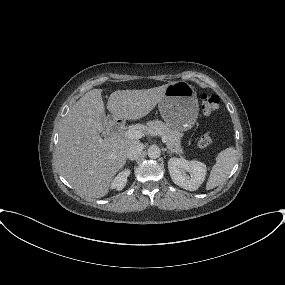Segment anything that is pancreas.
<instances>
[{
	"label": "pancreas",
	"mask_w": 285,
	"mask_h": 285,
	"mask_svg": "<svg viewBox=\"0 0 285 285\" xmlns=\"http://www.w3.org/2000/svg\"><path fill=\"white\" fill-rule=\"evenodd\" d=\"M147 129L149 131H156L161 136H164L167 140V148L171 152L176 154L183 153V148L181 146L182 134L179 131L169 127L167 124L159 120L149 121L147 123Z\"/></svg>",
	"instance_id": "1"
}]
</instances>
